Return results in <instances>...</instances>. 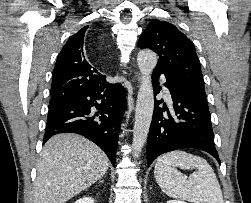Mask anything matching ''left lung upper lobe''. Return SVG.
<instances>
[{"mask_svg": "<svg viewBox=\"0 0 251 203\" xmlns=\"http://www.w3.org/2000/svg\"><path fill=\"white\" fill-rule=\"evenodd\" d=\"M139 48L159 55L155 69H162L206 99L204 80L194 44L171 23L153 20L142 33Z\"/></svg>", "mask_w": 251, "mask_h": 203, "instance_id": "obj_1", "label": "left lung upper lobe"}]
</instances>
